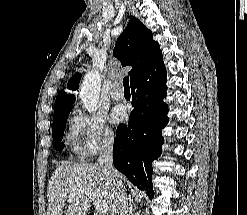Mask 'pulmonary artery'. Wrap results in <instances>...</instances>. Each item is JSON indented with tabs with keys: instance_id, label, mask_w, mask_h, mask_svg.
I'll return each mask as SVG.
<instances>
[{
	"instance_id": "1",
	"label": "pulmonary artery",
	"mask_w": 247,
	"mask_h": 215,
	"mask_svg": "<svg viewBox=\"0 0 247 215\" xmlns=\"http://www.w3.org/2000/svg\"><path fill=\"white\" fill-rule=\"evenodd\" d=\"M110 94L114 99H123L124 98V91L118 84H114L111 87Z\"/></svg>"
}]
</instances>
